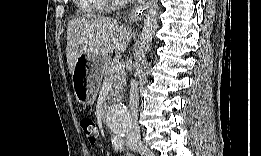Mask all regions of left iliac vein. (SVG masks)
Instances as JSON below:
<instances>
[{"label":"left iliac vein","mask_w":261,"mask_h":156,"mask_svg":"<svg viewBox=\"0 0 261 156\" xmlns=\"http://www.w3.org/2000/svg\"><path fill=\"white\" fill-rule=\"evenodd\" d=\"M129 146H130L131 149H134L133 146H132L131 144H129Z\"/></svg>","instance_id":"1"}]
</instances>
